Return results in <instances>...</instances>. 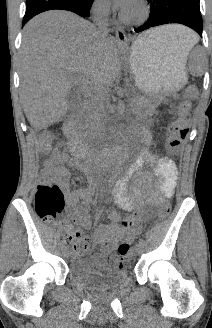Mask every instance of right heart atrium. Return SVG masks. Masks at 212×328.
Returning <instances> with one entry per match:
<instances>
[{
	"label": "right heart atrium",
	"mask_w": 212,
	"mask_h": 328,
	"mask_svg": "<svg viewBox=\"0 0 212 328\" xmlns=\"http://www.w3.org/2000/svg\"><path fill=\"white\" fill-rule=\"evenodd\" d=\"M95 7L100 12H107L109 10V4L107 0H96Z\"/></svg>",
	"instance_id": "d8ad5b80"
}]
</instances>
